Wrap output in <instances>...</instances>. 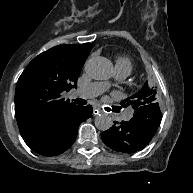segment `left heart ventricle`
<instances>
[{"label": "left heart ventricle", "mask_w": 193, "mask_h": 193, "mask_svg": "<svg viewBox=\"0 0 193 193\" xmlns=\"http://www.w3.org/2000/svg\"><path fill=\"white\" fill-rule=\"evenodd\" d=\"M115 74H112V76L102 82V85L104 88H111L114 86L115 83Z\"/></svg>", "instance_id": "obj_1"}]
</instances>
